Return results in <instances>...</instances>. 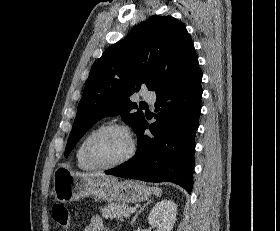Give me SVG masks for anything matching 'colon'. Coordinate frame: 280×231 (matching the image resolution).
<instances>
[{
	"label": "colon",
	"instance_id": "colon-1",
	"mask_svg": "<svg viewBox=\"0 0 280 231\" xmlns=\"http://www.w3.org/2000/svg\"><path fill=\"white\" fill-rule=\"evenodd\" d=\"M58 208H53L52 212L55 213L56 219L60 220V230H69L70 226L73 225V220H70L68 208L62 205H58Z\"/></svg>",
	"mask_w": 280,
	"mask_h": 231
}]
</instances>
